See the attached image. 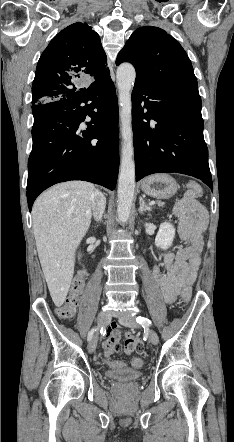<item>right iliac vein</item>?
Segmentation results:
<instances>
[{"label":"right iliac vein","mask_w":234,"mask_h":442,"mask_svg":"<svg viewBox=\"0 0 234 442\" xmlns=\"http://www.w3.org/2000/svg\"><path fill=\"white\" fill-rule=\"evenodd\" d=\"M109 315L105 312H101L98 315V326L100 327H104L108 324L109 322ZM97 346V334H95L92 339L90 340L89 344H88V351L89 353H93L96 349Z\"/></svg>","instance_id":"1"}]
</instances>
